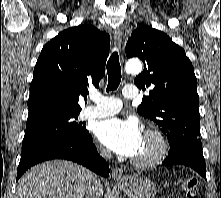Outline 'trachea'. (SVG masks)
<instances>
[{
    "label": "trachea",
    "instance_id": "trachea-1",
    "mask_svg": "<svg viewBox=\"0 0 221 198\" xmlns=\"http://www.w3.org/2000/svg\"><path fill=\"white\" fill-rule=\"evenodd\" d=\"M107 74V92L116 90L121 82V67L119 62V55L116 51L111 54L107 63Z\"/></svg>",
    "mask_w": 221,
    "mask_h": 198
}]
</instances>
